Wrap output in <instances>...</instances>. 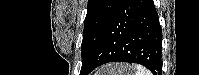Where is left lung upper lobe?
<instances>
[{"instance_id": "left-lung-upper-lobe-1", "label": "left lung upper lobe", "mask_w": 199, "mask_h": 75, "mask_svg": "<svg viewBox=\"0 0 199 75\" xmlns=\"http://www.w3.org/2000/svg\"><path fill=\"white\" fill-rule=\"evenodd\" d=\"M123 0H89L81 44L82 67L80 75L89 65L104 31Z\"/></svg>"}]
</instances>
